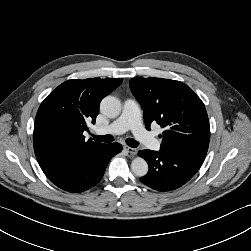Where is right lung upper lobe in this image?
<instances>
[{
    "label": "right lung upper lobe",
    "instance_id": "right-lung-upper-lobe-1",
    "mask_svg": "<svg viewBox=\"0 0 251 251\" xmlns=\"http://www.w3.org/2000/svg\"><path fill=\"white\" fill-rule=\"evenodd\" d=\"M123 79L68 80L41 103L34 124V151L39 163L65 160L102 147L83 132L95 123L101 100Z\"/></svg>",
    "mask_w": 251,
    "mask_h": 251
}]
</instances>
